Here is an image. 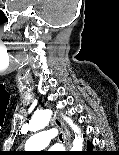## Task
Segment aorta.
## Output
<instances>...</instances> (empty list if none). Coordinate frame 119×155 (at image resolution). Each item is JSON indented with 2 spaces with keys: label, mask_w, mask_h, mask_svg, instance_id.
Wrapping results in <instances>:
<instances>
[{
  "label": "aorta",
  "mask_w": 119,
  "mask_h": 155,
  "mask_svg": "<svg viewBox=\"0 0 119 155\" xmlns=\"http://www.w3.org/2000/svg\"><path fill=\"white\" fill-rule=\"evenodd\" d=\"M50 118H51V111L49 110H42L35 113L29 122V130L36 132L38 130L43 129L49 123ZM64 119L76 133L75 139L73 141L72 151H82L83 136L80 135L79 127L73 124V121L70 118L65 117Z\"/></svg>",
  "instance_id": "1"
}]
</instances>
